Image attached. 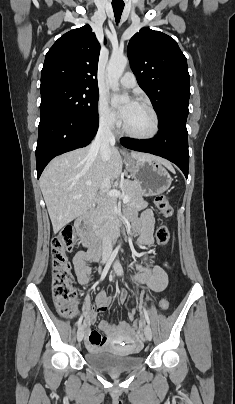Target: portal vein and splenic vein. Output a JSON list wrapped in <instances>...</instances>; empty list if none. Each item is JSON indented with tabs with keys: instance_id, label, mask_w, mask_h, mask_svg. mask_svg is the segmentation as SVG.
<instances>
[{
	"instance_id": "1",
	"label": "portal vein and splenic vein",
	"mask_w": 235,
	"mask_h": 404,
	"mask_svg": "<svg viewBox=\"0 0 235 404\" xmlns=\"http://www.w3.org/2000/svg\"><path fill=\"white\" fill-rule=\"evenodd\" d=\"M86 184H87L88 186H90V185H91V182H87ZM108 196H110V197H115V198L120 197V198L123 200L124 203H128V201H129L128 195L124 194L123 192L121 193L120 191L115 190V189L110 190V191L108 192Z\"/></svg>"
}]
</instances>
